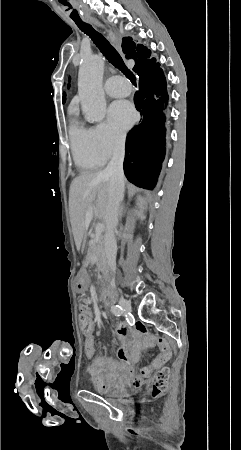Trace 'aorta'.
<instances>
[{
    "mask_svg": "<svg viewBox=\"0 0 241 450\" xmlns=\"http://www.w3.org/2000/svg\"><path fill=\"white\" fill-rule=\"evenodd\" d=\"M104 63L99 56L86 58L78 74V92L82 111L90 122H100L106 113V100L102 90Z\"/></svg>",
    "mask_w": 241,
    "mask_h": 450,
    "instance_id": "1",
    "label": "aorta"
}]
</instances>
